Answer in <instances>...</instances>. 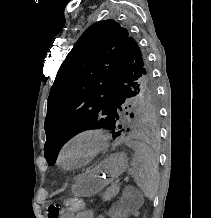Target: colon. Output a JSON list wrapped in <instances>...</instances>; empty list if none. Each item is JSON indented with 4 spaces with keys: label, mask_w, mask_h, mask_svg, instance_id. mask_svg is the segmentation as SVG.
<instances>
[{
    "label": "colon",
    "mask_w": 211,
    "mask_h": 218,
    "mask_svg": "<svg viewBox=\"0 0 211 218\" xmlns=\"http://www.w3.org/2000/svg\"><path fill=\"white\" fill-rule=\"evenodd\" d=\"M65 206H66V209L72 213V212H77L80 209H82L83 204H82V201L78 198H68L65 201Z\"/></svg>",
    "instance_id": "5ec220e1"
}]
</instances>
